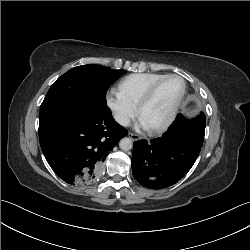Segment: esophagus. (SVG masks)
I'll use <instances>...</instances> for the list:
<instances>
[{
	"mask_svg": "<svg viewBox=\"0 0 250 250\" xmlns=\"http://www.w3.org/2000/svg\"><path fill=\"white\" fill-rule=\"evenodd\" d=\"M129 138L132 140V141H137L140 139V137L137 135V134H134V133H129L128 134Z\"/></svg>",
	"mask_w": 250,
	"mask_h": 250,
	"instance_id": "1",
	"label": "esophagus"
}]
</instances>
